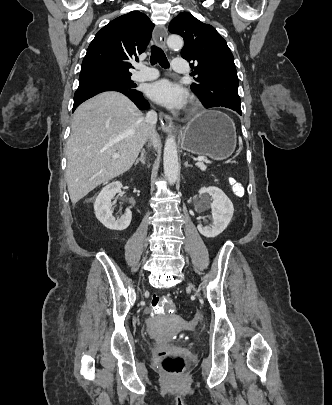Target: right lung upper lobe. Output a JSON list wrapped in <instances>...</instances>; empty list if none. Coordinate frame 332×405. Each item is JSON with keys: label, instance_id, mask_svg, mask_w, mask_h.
Wrapping results in <instances>:
<instances>
[{"label": "right lung upper lobe", "instance_id": "right-lung-upper-lobe-1", "mask_svg": "<svg viewBox=\"0 0 332 405\" xmlns=\"http://www.w3.org/2000/svg\"><path fill=\"white\" fill-rule=\"evenodd\" d=\"M154 28L147 15L132 11L98 31L82 62L80 76L112 73L129 75L132 59H138L150 41Z\"/></svg>", "mask_w": 332, "mask_h": 405}]
</instances>
